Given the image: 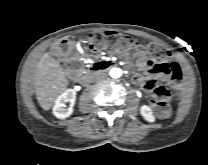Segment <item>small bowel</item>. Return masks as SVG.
Here are the masks:
<instances>
[{
    "instance_id": "1",
    "label": "small bowel",
    "mask_w": 208,
    "mask_h": 165,
    "mask_svg": "<svg viewBox=\"0 0 208 165\" xmlns=\"http://www.w3.org/2000/svg\"><path fill=\"white\" fill-rule=\"evenodd\" d=\"M133 58L142 72L134 74L133 80L142 83L145 89L153 92L154 95L155 89L159 87L154 78H164L168 85L177 86L185 77V69L180 62L173 60H151L147 49L136 52ZM130 60V58H127L126 62H130ZM66 68L70 81L75 82L80 79L81 75L76 62H69Z\"/></svg>"
}]
</instances>
